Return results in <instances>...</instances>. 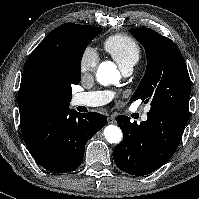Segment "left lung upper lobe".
<instances>
[{
    "mask_svg": "<svg viewBox=\"0 0 199 199\" xmlns=\"http://www.w3.org/2000/svg\"><path fill=\"white\" fill-rule=\"evenodd\" d=\"M130 33L145 48L146 72L131 101L150 102L151 109L188 120L191 81L179 48L169 38L150 28H132Z\"/></svg>",
    "mask_w": 199,
    "mask_h": 199,
    "instance_id": "left-lung-upper-lobe-1",
    "label": "left lung upper lobe"
}]
</instances>
